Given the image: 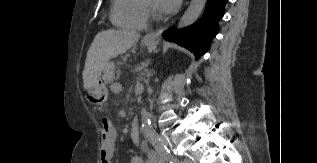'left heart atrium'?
Returning a JSON list of instances; mask_svg holds the SVG:
<instances>
[{"instance_id": "1", "label": "left heart atrium", "mask_w": 317, "mask_h": 163, "mask_svg": "<svg viewBox=\"0 0 317 163\" xmlns=\"http://www.w3.org/2000/svg\"><path fill=\"white\" fill-rule=\"evenodd\" d=\"M180 0H154V9L163 15L174 12L179 6Z\"/></svg>"}]
</instances>
